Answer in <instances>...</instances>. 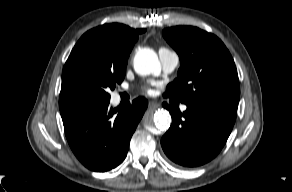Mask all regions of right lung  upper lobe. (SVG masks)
I'll return each instance as SVG.
<instances>
[{
  "instance_id": "cb5924a9",
  "label": "right lung upper lobe",
  "mask_w": 292,
  "mask_h": 192,
  "mask_svg": "<svg viewBox=\"0 0 292 192\" xmlns=\"http://www.w3.org/2000/svg\"><path fill=\"white\" fill-rule=\"evenodd\" d=\"M144 31L145 29L135 30L118 23L104 24L86 32L82 39H93L113 60L127 63L128 56L138 39V35Z\"/></svg>"
}]
</instances>
